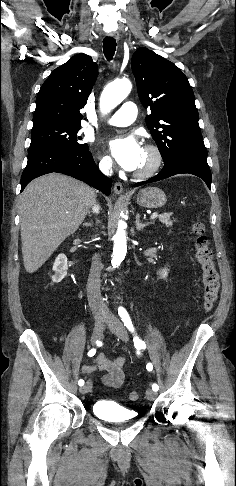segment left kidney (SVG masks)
Instances as JSON below:
<instances>
[{
    "mask_svg": "<svg viewBox=\"0 0 236 486\" xmlns=\"http://www.w3.org/2000/svg\"><path fill=\"white\" fill-rule=\"evenodd\" d=\"M160 276L162 278H166L167 275H168V270L166 268L162 269L160 272H159Z\"/></svg>",
    "mask_w": 236,
    "mask_h": 486,
    "instance_id": "5707ae66",
    "label": "left kidney"
}]
</instances>
